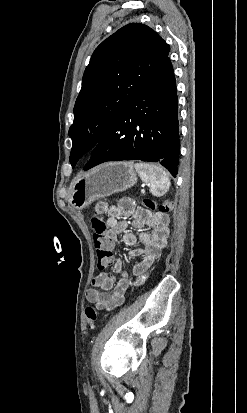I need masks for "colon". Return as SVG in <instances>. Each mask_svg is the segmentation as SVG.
<instances>
[{"instance_id":"1","label":"colon","mask_w":247,"mask_h":413,"mask_svg":"<svg viewBox=\"0 0 247 413\" xmlns=\"http://www.w3.org/2000/svg\"><path fill=\"white\" fill-rule=\"evenodd\" d=\"M140 205H145L146 210H160L161 215H166L171 212L174 207V202L169 199H163L159 202H155L152 199L144 198ZM92 222V227L96 229L93 235L94 244L97 247V263L98 265H110L112 262V251L113 246L110 244L109 239L105 236V231L107 227V222L105 220H100L94 216L90 217ZM84 315L86 318L87 326L93 328L98 321V312L92 306H87L84 309Z\"/></svg>"}]
</instances>
